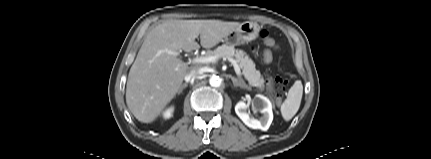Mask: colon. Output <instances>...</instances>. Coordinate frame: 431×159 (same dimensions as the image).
Listing matches in <instances>:
<instances>
[{
  "mask_svg": "<svg viewBox=\"0 0 431 159\" xmlns=\"http://www.w3.org/2000/svg\"><path fill=\"white\" fill-rule=\"evenodd\" d=\"M261 36L264 38V42H265V44L268 46V47H273L274 45H275V40L273 39V38H271V37H268V34H267V32H265V31H263L262 33H261ZM265 59L267 60V61H270L271 60V54H270V52H266V54H265ZM268 85H269V87L271 88V89H273V87H274V85L276 86V77L275 78H270L269 80H268ZM279 90V89H278ZM282 90H279V92H275L274 93V97H275V99H277V100H279V99H281V97H282Z\"/></svg>",
  "mask_w": 431,
  "mask_h": 159,
  "instance_id": "5ec220e1",
  "label": "colon"
}]
</instances>
